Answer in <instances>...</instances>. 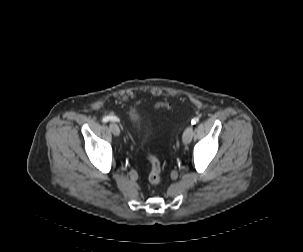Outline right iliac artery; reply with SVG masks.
I'll use <instances>...</instances> for the list:
<instances>
[{
	"label": "right iliac artery",
	"instance_id": "82829eb1",
	"mask_svg": "<svg viewBox=\"0 0 303 252\" xmlns=\"http://www.w3.org/2000/svg\"><path fill=\"white\" fill-rule=\"evenodd\" d=\"M110 120H115V121H119V119L117 117H113V116H106L102 119L103 123H107Z\"/></svg>",
	"mask_w": 303,
	"mask_h": 252
}]
</instances>
